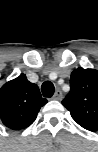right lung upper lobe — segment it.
<instances>
[{"mask_svg": "<svg viewBox=\"0 0 98 152\" xmlns=\"http://www.w3.org/2000/svg\"><path fill=\"white\" fill-rule=\"evenodd\" d=\"M46 103L38 86L21 74L0 88V120L12 130L24 129L35 121Z\"/></svg>", "mask_w": 98, "mask_h": 152, "instance_id": "cb5924a9", "label": "right lung upper lobe"}]
</instances>
